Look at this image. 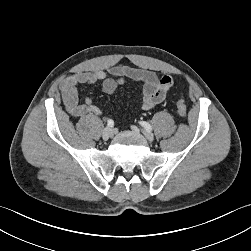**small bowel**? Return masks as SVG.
<instances>
[{
    "label": "small bowel",
    "instance_id": "small-bowel-1",
    "mask_svg": "<svg viewBox=\"0 0 251 251\" xmlns=\"http://www.w3.org/2000/svg\"><path fill=\"white\" fill-rule=\"evenodd\" d=\"M125 79L141 83V108L150 110L162 102L174 80L169 75L158 77L151 70L139 69L128 65H115L108 70L82 71L66 77L60 85L62 98L67 111L74 117L87 115L99 116L100 108L90 97L79 102L77 87L84 84L102 83L106 94H113Z\"/></svg>",
    "mask_w": 251,
    "mask_h": 251
}]
</instances>
